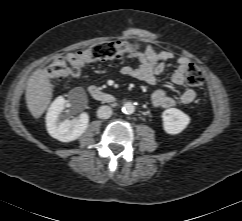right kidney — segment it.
Listing matches in <instances>:
<instances>
[{
  "label": "right kidney",
  "mask_w": 242,
  "mask_h": 221,
  "mask_svg": "<svg viewBox=\"0 0 242 221\" xmlns=\"http://www.w3.org/2000/svg\"><path fill=\"white\" fill-rule=\"evenodd\" d=\"M68 103L71 107H76V102L65 100L64 97H57L50 105L46 115V127L50 136L61 141L71 142L78 139L87 129L89 116L81 113L77 120L60 121V114Z\"/></svg>",
  "instance_id": "right-kidney-1"
}]
</instances>
